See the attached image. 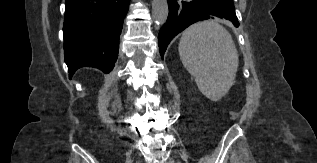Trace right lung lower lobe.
<instances>
[{
    "label": "right lung lower lobe",
    "instance_id": "right-lung-lower-lobe-1",
    "mask_svg": "<svg viewBox=\"0 0 317 163\" xmlns=\"http://www.w3.org/2000/svg\"><path fill=\"white\" fill-rule=\"evenodd\" d=\"M129 1L66 0L63 34L70 79L81 67L113 69Z\"/></svg>",
    "mask_w": 317,
    "mask_h": 163
}]
</instances>
